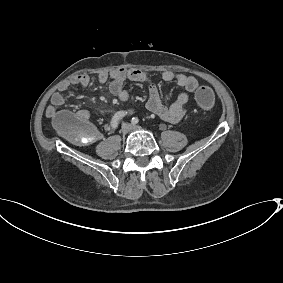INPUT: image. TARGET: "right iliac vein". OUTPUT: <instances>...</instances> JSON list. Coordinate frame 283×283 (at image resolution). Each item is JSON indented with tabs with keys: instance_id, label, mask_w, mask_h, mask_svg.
<instances>
[{
	"instance_id": "1",
	"label": "right iliac vein",
	"mask_w": 283,
	"mask_h": 283,
	"mask_svg": "<svg viewBox=\"0 0 283 283\" xmlns=\"http://www.w3.org/2000/svg\"><path fill=\"white\" fill-rule=\"evenodd\" d=\"M131 130V126L129 123H123L122 127H121V132L122 134L126 135L129 133V131Z\"/></svg>"
}]
</instances>
